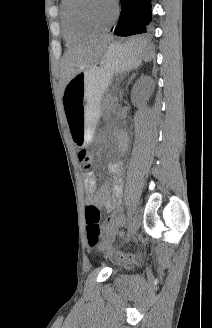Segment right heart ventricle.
I'll list each match as a JSON object with an SVG mask.
<instances>
[{
  "mask_svg": "<svg viewBox=\"0 0 212 328\" xmlns=\"http://www.w3.org/2000/svg\"><path fill=\"white\" fill-rule=\"evenodd\" d=\"M70 3L71 0L61 1L60 19H61V27H62V32L65 42L69 45H73L89 38L90 36L93 35V33L78 31L74 29L68 15V9Z\"/></svg>",
  "mask_w": 212,
  "mask_h": 328,
  "instance_id": "right-heart-ventricle-1",
  "label": "right heart ventricle"
}]
</instances>
